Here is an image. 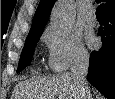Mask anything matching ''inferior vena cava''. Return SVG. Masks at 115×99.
<instances>
[{"instance_id":"obj_1","label":"inferior vena cava","mask_w":115,"mask_h":99,"mask_svg":"<svg viewBox=\"0 0 115 99\" xmlns=\"http://www.w3.org/2000/svg\"><path fill=\"white\" fill-rule=\"evenodd\" d=\"M89 67V54L79 53L73 60L71 67V76L79 89L81 99H91L90 90L87 86L86 76Z\"/></svg>"}]
</instances>
